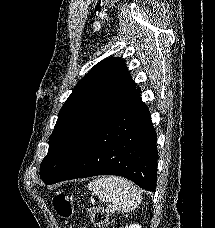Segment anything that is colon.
I'll return each mask as SVG.
<instances>
[{
	"instance_id": "1",
	"label": "colon",
	"mask_w": 215,
	"mask_h": 228,
	"mask_svg": "<svg viewBox=\"0 0 215 228\" xmlns=\"http://www.w3.org/2000/svg\"><path fill=\"white\" fill-rule=\"evenodd\" d=\"M55 211L63 218L70 217L72 214L71 204L67 197L58 194L53 198ZM91 220L95 228L112 227L109 211L102 206H94L91 210Z\"/></svg>"
}]
</instances>
